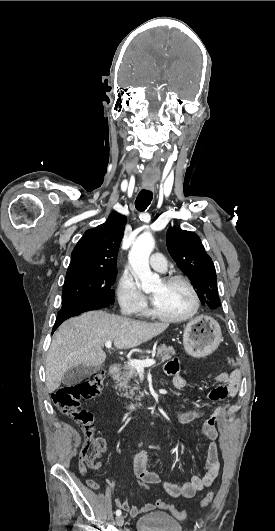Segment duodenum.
Returning a JSON list of instances; mask_svg holds the SVG:
<instances>
[{"label":"duodenum","mask_w":275,"mask_h":531,"mask_svg":"<svg viewBox=\"0 0 275 531\" xmlns=\"http://www.w3.org/2000/svg\"><path fill=\"white\" fill-rule=\"evenodd\" d=\"M120 367H121V363H116V364L111 365L108 368L109 374L110 375L116 374L119 371ZM147 408H148L147 403H139V404L128 406L127 411H129L132 414H142Z\"/></svg>","instance_id":"obj_1"}]
</instances>
